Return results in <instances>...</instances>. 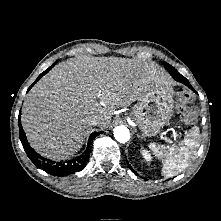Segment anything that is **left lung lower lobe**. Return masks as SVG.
<instances>
[{
    "instance_id": "left-lung-lower-lobe-1",
    "label": "left lung lower lobe",
    "mask_w": 221,
    "mask_h": 221,
    "mask_svg": "<svg viewBox=\"0 0 221 221\" xmlns=\"http://www.w3.org/2000/svg\"><path fill=\"white\" fill-rule=\"evenodd\" d=\"M173 78H174L176 81L185 84V85L188 86L190 89H192L193 91H195V90L192 88L191 84L188 82V80H187L185 77H183L181 74H180V75H176V76H174ZM129 168L131 169V171H132L134 174L137 175V173L132 169L131 166H129Z\"/></svg>"
}]
</instances>
